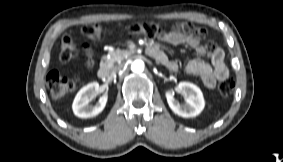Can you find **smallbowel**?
<instances>
[{
  "label": "small bowel",
  "instance_id": "small-bowel-1",
  "mask_svg": "<svg viewBox=\"0 0 283 162\" xmlns=\"http://www.w3.org/2000/svg\"><path fill=\"white\" fill-rule=\"evenodd\" d=\"M205 34L206 31L203 28L194 27L191 24H179L159 35V39L172 45H187L200 56L208 55L211 59L210 63L197 59L191 60L186 65V72L199 77L206 88L213 89L217 82L228 78L229 70L225 63L223 50L214 42L205 44L203 42ZM85 52L88 57L87 67L92 68L94 65L92 50L86 47ZM162 55V58L157 60L168 69L175 71L178 68L177 63L169 59L163 52Z\"/></svg>",
  "mask_w": 283,
  "mask_h": 162
}]
</instances>
